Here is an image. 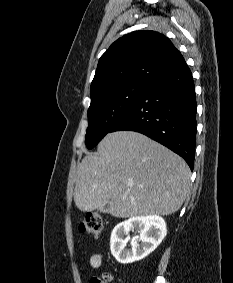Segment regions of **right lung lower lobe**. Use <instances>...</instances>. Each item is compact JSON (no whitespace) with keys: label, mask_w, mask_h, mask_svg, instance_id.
<instances>
[{"label":"right lung lower lobe","mask_w":233,"mask_h":283,"mask_svg":"<svg viewBox=\"0 0 233 283\" xmlns=\"http://www.w3.org/2000/svg\"><path fill=\"white\" fill-rule=\"evenodd\" d=\"M196 108L192 73L183 60L153 79L110 132H140L180 155L193 170Z\"/></svg>","instance_id":"right-lung-lower-lobe-1"}]
</instances>
